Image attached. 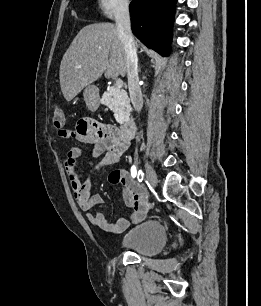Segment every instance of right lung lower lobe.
I'll return each instance as SVG.
<instances>
[{
	"label": "right lung lower lobe",
	"instance_id": "98d812e1",
	"mask_svg": "<svg viewBox=\"0 0 261 306\" xmlns=\"http://www.w3.org/2000/svg\"><path fill=\"white\" fill-rule=\"evenodd\" d=\"M176 0H132L131 25L135 36L161 55L169 52Z\"/></svg>",
	"mask_w": 261,
	"mask_h": 306
}]
</instances>
